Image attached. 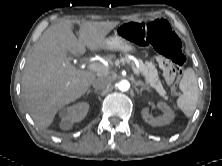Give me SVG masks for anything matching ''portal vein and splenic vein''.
I'll use <instances>...</instances> for the list:
<instances>
[{
    "label": "portal vein and splenic vein",
    "mask_w": 222,
    "mask_h": 166,
    "mask_svg": "<svg viewBox=\"0 0 222 166\" xmlns=\"http://www.w3.org/2000/svg\"><path fill=\"white\" fill-rule=\"evenodd\" d=\"M88 68L91 70V71H94V72H97V73H105L107 71V67H105L104 65L98 63V62H93V63H90ZM132 70L133 72L139 76L140 75V72L138 71L137 68L135 67H132Z\"/></svg>",
    "instance_id": "1"
}]
</instances>
